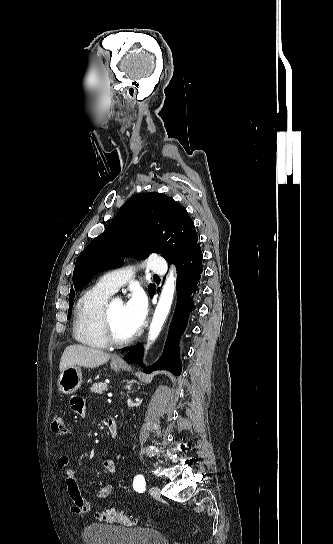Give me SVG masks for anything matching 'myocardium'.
I'll use <instances>...</instances> for the list:
<instances>
[{"instance_id":"f54148a6","label":"myocardium","mask_w":333,"mask_h":544,"mask_svg":"<svg viewBox=\"0 0 333 544\" xmlns=\"http://www.w3.org/2000/svg\"><path fill=\"white\" fill-rule=\"evenodd\" d=\"M113 301H107L103 308L102 312V329L104 336L109 344L112 345H126L131 343L135 338L136 335L133 334L126 338L118 337L113 329L111 317H110V308Z\"/></svg>"}]
</instances>
